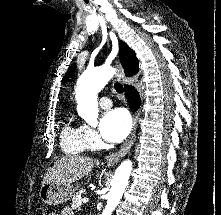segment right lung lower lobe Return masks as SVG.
<instances>
[{
    "label": "right lung lower lobe",
    "instance_id": "obj_1",
    "mask_svg": "<svg viewBox=\"0 0 221 215\" xmlns=\"http://www.w3.org/2000/svg\"><path fill=\"white\" fill-rule=\"evenodd\" d=\"M125 96L127 98L128 103L130 104V107L133 111L137 110L139 108L140 104V96L137 92V90L130 85L125 86Z\"/></svg>",
    "mask_w": 221,
    "mask_h": 215
}]
</instances>
